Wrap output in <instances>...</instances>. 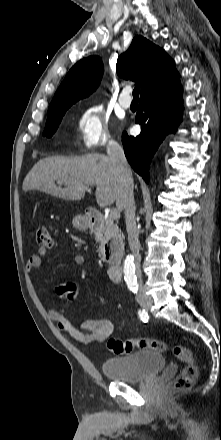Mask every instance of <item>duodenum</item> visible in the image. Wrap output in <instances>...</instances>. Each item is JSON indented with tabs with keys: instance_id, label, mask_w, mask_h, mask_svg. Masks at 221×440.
<instances>
[{
	"instance_id": "duodenum-1",
	"label": "duodenum",
	"mask_w": 221,
	"mask_h": 440,
	"mask_svg": "<svg viewBox=\"0 0 221 440\" xmlns=\"http://www.w3.org/2000/svg\"><path fill=\"white\" fill-rule=\"evenodd\" d=\"M86 218L91 228H97L101 226L102 223L104 222L103 216L100 213H97L93 210L87 211ZM107 259L110 260L108 256ZM108 276L112 281L115 282L121 281L123 277L122 267L117 263H112L108 268Z\"/></svg>"
}]
</instances>
